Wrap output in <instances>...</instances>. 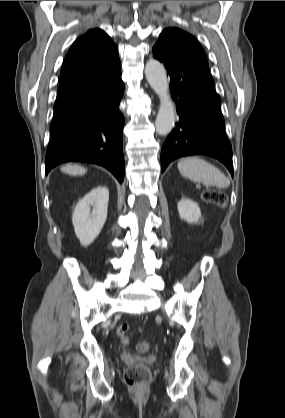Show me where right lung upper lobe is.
<instances>
[{"label":"right lung upper lobe","mask_w":285,"mask_h":418,"mask_svg":"<svg viewBox=\"0 0 285 418\" xmlns=\"http://www.w3.org/2000/svg\"><path fill=\"white\" fill-rule=\"evenodd\" d=\"M120 75L116 45L103 30H89L72 44L64 59L54 109L96 91Z\"/></svg>","instance_id":"1"}]
</instances>
